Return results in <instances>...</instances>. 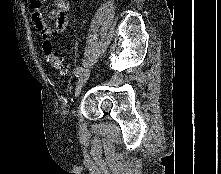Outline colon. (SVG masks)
Listing matches in <instances>:
<instances>
[{
  "label": "colon",
  "instance_id": "obj_1",
  "mask_svg": "<svg viewBox=\"0 0 221 174\" xmlns=\"http://www.w3.org/2000/svg\"><path fill=\"white\" fill-rule=\"evenodd\" d=\"M44 42L42 44V50L45 54L46 61L52 67L59 69L62 72H66L67 64L66 61L60 57L56 52H54L52 44L50 42V37L47 35L42 36Z\"/></svg>",
  "mask_w": 221,
  "mask_h": 174
}]
</instances>
